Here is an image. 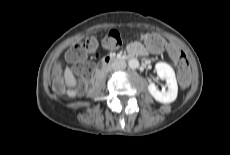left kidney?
<instances>
[{"instance_id":"1","label":"left kidney","mask_w":230,"mask_h":155,"mask_svg":"<svg viewBox=\"0 0 230 155\" xmlns=\"http://www.w3.org/2000/svg\"><path fill=\"white\" fill-rule=\"evenodd\" d=\"M155 68L158 76L166 81L168 90L159 91L154 83H150L148 86V91L158 102L164 104L174 102L178 94V85L173 68L165 62H158L155 65Z\"/></svg>"}]
</instances>
